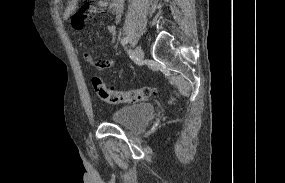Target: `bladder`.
Segmentation results:
<instances>
[{
    "label": "bladder",
    "instance_id": "bladder-1",
    "mask_svg": "<svg viewBox=\"0 0 285 183\" xmlns=\"http://www.w3.org/2000/svg\"><path fill=\"white\" fill-rule=\"evenodd\" d=\"M155 113L151 104L139 103L117 109L112 116L115 124L130 130H140L145 127Z\"/></svg>",
    "mask_w": 285,
    "mask_h": 183
}]
</instances>
